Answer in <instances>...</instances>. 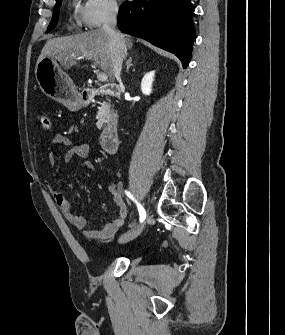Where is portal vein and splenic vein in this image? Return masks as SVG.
<instances>
[{
  "instance_id": "portal-vein-and-splenic-vein-1",
  "label": "portal vein and splenic vein",
  "mask_w": 285,
  "mask_h": 335,
  "mask_svg": "<svg viewBox=\"0 0 285 335\" xmlns=\"http://www.w3.org/2000/svg\"><path fill=\"white\" fill-rule=\"evenodd\" d=\"M97 80H99V82H106L108 76H106V74H97Z\"/></svg>"
}]
</instances>
